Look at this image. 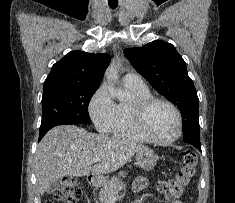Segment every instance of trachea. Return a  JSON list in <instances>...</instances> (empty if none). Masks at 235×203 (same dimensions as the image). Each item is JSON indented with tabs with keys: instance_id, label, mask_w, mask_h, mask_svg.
Listing matches in <instances>:
<instances>
[{
	"instance_id": "obj_1",
	"label": "trachea",
	"mask_w": 235,
	"mask_h": 203,
	"mask_svg": "<svg viewBox=\"0 0 235 203\" xmlns=\"http://www.w3.org/2000/svg\"><path fill=\"white\" fill-rule=\"evenodd\" d=\"M109 6L112 8V9H115L117 7V4H109Z\"/></svg>"
}]
</instances>
